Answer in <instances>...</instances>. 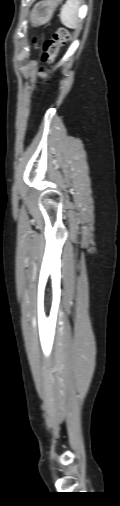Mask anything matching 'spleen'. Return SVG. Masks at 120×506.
<instances>
[{"mask_svg": "<svg viewBox=\"0 0 120 506\" xmlns=\"http://www.w3.org/2000/svg\"><path fill=\"white\" fill-rule=\"evenodd\" d=\"M79 0H67L60 13V19L64 26L68 28H77V13L79 9Z\"/></svg>", "mask_w": 120, "mask_h": 506, "instance_id": "obj_1", "label": "spleen"}]
</instances>
